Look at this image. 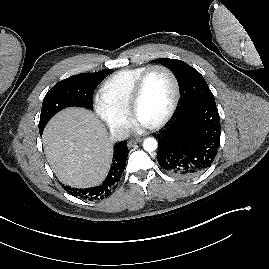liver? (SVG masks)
Masks as SVG:
<instances>
[{"mask_svg":"<svg viewBox=\"0 0 269 269\" xmlns=\"http://www.w3.org/2000/svg\"><path fill=\"white\" fill-rule=\"evenodd\" d=\"M43 144L58 179L73 187L101 183L112 161L105 128L92 112L83 108L58 113L44 130Z\"/></svg>","mask_w":269,"mask_h":269,"instance_id":"obj_1","label":"liver"}]
</instances>
